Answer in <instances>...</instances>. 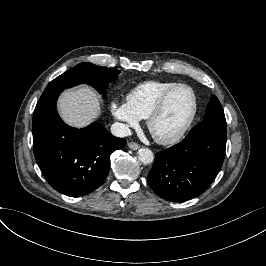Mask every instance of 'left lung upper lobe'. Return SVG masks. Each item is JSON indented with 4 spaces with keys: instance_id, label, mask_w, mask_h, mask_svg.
Instances as JSON below:
<instances>
[{
    "instance_id": "left-lung-upper-lobe-1",
    "label": "left lung upper lobe",
    "mask_w": 266,
    "mask_h": 266,
    "mask_svg": "<svg viewBox=\"0 0 266 266\" xmlns=\"http://www.w3.org/2000/svg\"><path fill=\"white\" fill-rule=\"evenodd\" d=\"M197 130H211L226 133V119L223 108L216 96H212L202 122L197 124L189 133Z\"/></svg>"
}]
</instances>
